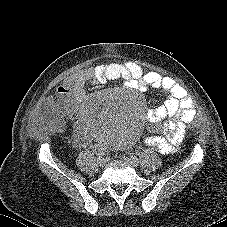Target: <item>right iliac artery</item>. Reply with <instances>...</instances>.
Returning a JSON list of instances; mask_svg holds the SVG:
<instances>
[{
	"label": "right iliac artery",
	"mask_w": 227,
	"mask_h": 227,
	"mask_svg": "<svg viewBox=\"0 0 227 227\" xmlns=\"http://www.w3.org/2000/svg\"><path fill=\"white\" fill-rule=\"evenodd\" d=\"M98 155H99V157H102V156L106 155V151H100V152L98 153Z\"/></svg>",
	"instance_id": "right-iliac-artery-1"
}]
</instances>
